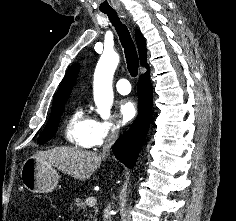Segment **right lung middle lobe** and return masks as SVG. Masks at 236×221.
Segmentation results:
<instances>
[{
	"mask_svg": "<svg viewBox=\"0 0 236 221\" xmlns=\"http://www.w3.org/2000/svg\"><path fill=\"white\" fill-rule=\"evenodd\" d=\"M64 107H65V103H62V104L52 107L49 120H48L43 132L41 133V135L38 138L39 144H43V143L47 142L49 139H51L55 135V133L58 129L60 117L63 113Z\"/></svg>",
	"mask_w": 236,
	"mask_h": 221,
	"instance_id": "obj_1",
	"label": "right lung middle lobe"
}]
</instances>
